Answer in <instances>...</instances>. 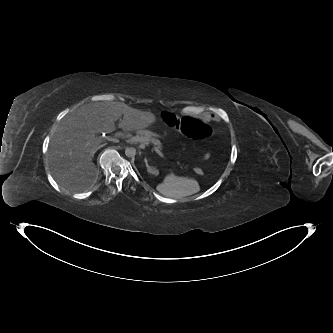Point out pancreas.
Listing matches in <instances>:
<instances>
[{
    "label": "pancreas",
    "mask_w": 333,
    "mask_h": 333,
    "mask_svg": "<svg viewBox=\"0 0 333 333\" xmlns=\"http://www.w3.org/2000/svg\"><path fill=\"white\" fill-rule=\"evenodd\" d=\"M138 136L146 138L149 143L154 144L155 146H157L159 150H162L163 148L162 143L160 142L159 139L153 137L150 131L147 130L138 131Z\"/></svg>",
    "instance_id": "pancreas-1"
}]
</instances>
